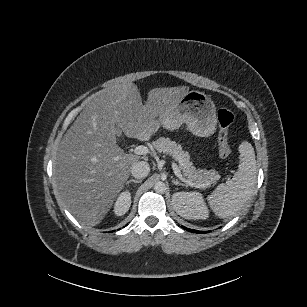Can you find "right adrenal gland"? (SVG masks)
I'll return each mask as SVG.
<instances>
[{
	"label": "right adrenal gland",
	"mask_w": 307,
	"mask_h": 307,
	"mask_svg": "<svg viewBox=\"0 0 307 307\" xmlns=\"http://www.w3.org/2000/svg\"><path fill=\"white\" fill-rule=\"evenodd\" d=\"M130 182L140 183V182H142V179L137 178V179H129V180L126 181L127 184L130 183Z\"/></svg>",
	"instance_id": "2a0ac1e0"
}]
</instances>
